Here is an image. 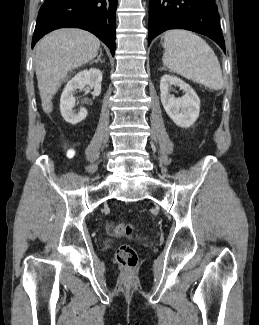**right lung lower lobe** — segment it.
Listing matches in <instances>:
<instances>
[{"label":"right lung lower lobe","instance_id":"98d812e1","mask_svg":"<svg viewBox=\"0 0 259 325\" xmlns=\"http://www.w3.org/2000/svg\"><path fill=\"white\" fill-rule=\"evenodd\" d=\"M118 0H46L39 10L32 48L48 32L58 28H81L95 34L114 56Z\"/></svg>","mask_w":259,"mask_h":325}]
</instances>
